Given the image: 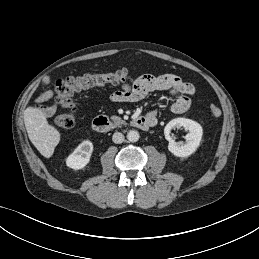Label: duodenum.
<instances>
[{"mask_svg":"<svg viewBox=\"0 0 259 259\" xmlns=\"http://www.w3.org/2000/svg\"><path fill=\"white\" fill-rule=\"evenodd\" d=\"M132 124L140 129H147L156 124V118L149 116H140L136 118ZM92 127L97 132H108L111 129L110 120L105 116H98L94 118Z\"/></svg>","mask_w":259,"mask_h":259,"instance_id":"duodenum-1","label":"duodenum"}]
</instances>
